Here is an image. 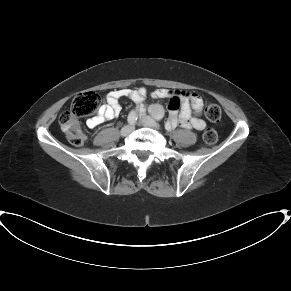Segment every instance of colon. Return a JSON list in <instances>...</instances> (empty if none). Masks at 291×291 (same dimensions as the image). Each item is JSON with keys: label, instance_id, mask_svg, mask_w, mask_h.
Wrapping results in <instances>:
<instances>
[{"label": "colon", "instance_id": "5ec220e1", "mask_svg": "<svg viewBox=\"0 0 291 291\" xmlns=\"http://www.w3.org/2000/svg\"><path fill=\"white\" fill-rule=\"evenodd\" d=\"M99 102L97 93L93 91L81 92L73 99L70 109L60 115L61 130L72 145L81 146L86 141L87 134L80 126L78 119L92 115L98 108ZM204 112L212 122H218L221 118V109L213 102L205 104ZM217 137V132L214 129H207L203 133V142L208 145L214 144Z\"/></svg>", "mask_w": 291, "mask_h": 291}]
</instances>
